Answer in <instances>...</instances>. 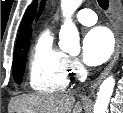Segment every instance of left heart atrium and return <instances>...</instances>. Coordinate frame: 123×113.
Wrapping results in <instances>:
<instances>
[{"instance_id":"obj_1","label":"left heart atrium","mask_w":123,"mask_h":113,"mask_svg":"<svg viewBox=\"0 0 123 113\" xmlns=\"http://www.w3.org/2000/svg\"><path fill=\"white\" fill-rule=\"evenodd\" d=\"M114 42L110 31L104 27L89 30L83 39V59L88 65L105 62L113 52Z\"/></svg>"}]
</instances>
